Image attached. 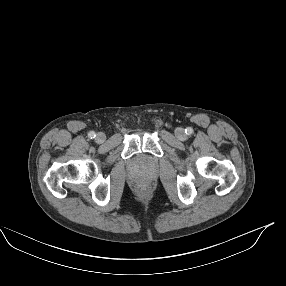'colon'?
Listing matches in <instances>:
<instances>
[{"mask_svg": "<svg viewBox=\"0 0 286 286\" xmlns=\"http://www.w3.org/2000/svg\"><path fill=\"white\" fill-rule=\"evenodd\" d=\"M138 189H139L140 191L144 192V191L147 190V186H146L145 184H140V185L138 186Z\"/></svg>", "mask_w": 286, "mask_h": 286, "instance_id": "5ec220e1", "label": "colon"}]
</instances>
